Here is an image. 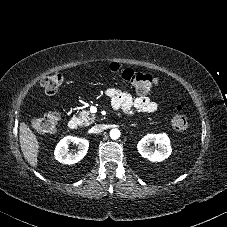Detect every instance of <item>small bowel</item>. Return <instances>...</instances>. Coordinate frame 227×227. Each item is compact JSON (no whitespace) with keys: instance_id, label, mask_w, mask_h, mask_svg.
<instances>
[{"instance_id":"small-bowel-1","label":"small bowel","mask_w":227,"mask_h":227,"mask_svg":"<svg viewBox=\"0 0 227 227\" xmlns=\"http://www.w3.org/2000/svg\"><path fill=\"white\" fill-rule=\"evenodd\" d=\"M106 95L110 98L113 109H121L129 115H134L136 112L153 113L158 109V104L146 94L140 93L133 98L126 92L110 87L106 90Z\"/></svg>"}]
</instances>
